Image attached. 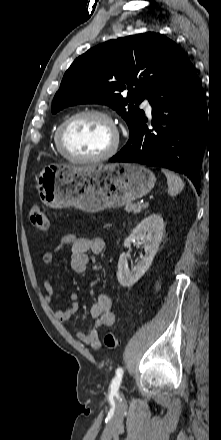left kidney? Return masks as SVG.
I'll use <instances>...</instances> for the list:
<instances>
[{
    "label": "left kidney",
    "instance_id": "left-kidney-1",
    "mask_svg": "<svg viewBox=\"0 0 221 440\" xmlns=\"http://www.w3.org/2000/svg\"><path fill=\"white\" fill-rule=\"evenodd\" d=\"M163 232V218L159 214H151L144 218L125 239V248H130L131 243L135 240L141 241L144 245L145 255L136 265H132V270L128 268L129 255L126 253L120 255L117 278L123 287H131L149 269L162 241Z\"/></svg>",
    "mask_w": 221,
    "mask_h": 440
}]
</instances>
